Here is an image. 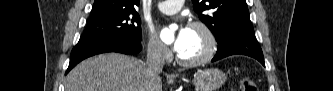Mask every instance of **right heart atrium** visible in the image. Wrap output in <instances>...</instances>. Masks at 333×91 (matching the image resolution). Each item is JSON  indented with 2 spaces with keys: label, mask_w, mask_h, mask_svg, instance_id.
Returning a JSON list of instances; mask_svg holds the SVG:
<instances>
[{
  "label": "right heart atrium",
  "mask_w": 333,
  "mask_h": 91,
  "mask_svg": "<svg viewBox=\"0 0 333 91\" xmlns=\"http://www.w3.org/2000/svg\"><path fill=\"white\" fill-rule=\"evenodd\" d=\"M145 47L149 58L155 61H165L169 58L168 48L151 32L145 35Z\"/></svg>",
  "instance_id": "1"
}]
</instances>
